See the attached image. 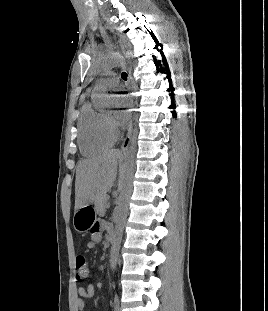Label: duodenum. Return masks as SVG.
I'll return each mask as SVG.
<instances>
[{"instance_id": "obj_1", "label": "duodenum", "mask_w": 268, "mask_h": 311, "mask_svg": "<svg viewBox=\"0 0 268 311\" xmlns=\"http://www.w3.org/2000/svg\"><path fill=\"white\" fill-rule=\"evenodd\" d=\"M114 239H115V233H114V230L111 229L109 232V242L112 243Z\"/></svg>"}]
</instances>
